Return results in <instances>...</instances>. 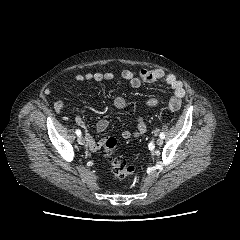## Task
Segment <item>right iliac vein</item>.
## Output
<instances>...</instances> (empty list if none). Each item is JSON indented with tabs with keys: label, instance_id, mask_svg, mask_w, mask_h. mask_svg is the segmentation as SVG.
<instances>
[{
	"label": "right iliac vein",
	"instance_id": "right-iliac-vein-1",
	"mask_svg": "<svg viewBox=\"0 0 240 240\" xmlns=\"http://www.w3.org/2000/svg\"><path fill=\"white\" fill-rule=\"evenodd\" d=\"M77 142H78L80 145H84V144H85V140H84V138H83L82 136H79V137L77 138Z\"/></svg>",
	"mask_w": 240,
	"mask_h": 240
}]
</instances>
